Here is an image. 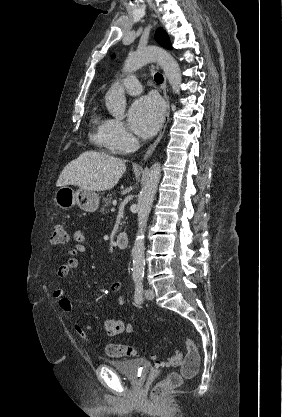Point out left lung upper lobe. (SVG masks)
Wrapping results in <instances>:
<instances>
[{"instance_id":"5c2ea615","label":"left lung upper lobe","mask_w":282,"mask_h":417,"mask_svg":"<svg viewBox=\"0 0 282 417\" xmlns=\"http://www.w3.org/2000/svg\"><path fill=\"white\" fill-rule=\"evenodd\" d=\"M155 39L161 46H163L167 49L172 48L169 37H168V35L165 31H162L161 29H158L155 33Z\"/></svg>"}]
</instances>
